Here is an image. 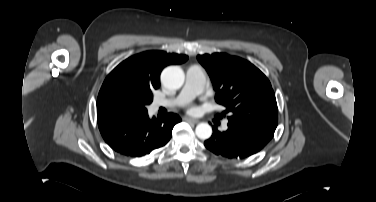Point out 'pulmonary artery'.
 Here are the masks:
<instances>
[{
    "mask_svg": "<svg viewBox=\"0 0 376 202\" xmlns=\"http://www.w3.org/2000/svg\"><path fill=\"white\" fill-rule=\"evenodd\" d=\"M205 84V71L197 64L191 65L186 71V82L181 92L174 98L157 99L154 107H176L191 101L203 91Z\"/></svg>",
    "mask_w": 376,
    "mask_h": 202,
    "instance_id": "1",
    "label": "pulmonary artery"
}]
</instances>
